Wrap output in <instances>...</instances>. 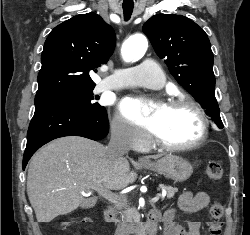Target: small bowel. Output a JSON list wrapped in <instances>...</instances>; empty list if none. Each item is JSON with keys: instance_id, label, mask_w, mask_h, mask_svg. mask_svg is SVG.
<instances>
[{"instance_id": "c3829d8e", "label": "small bowel", "mask_w": 250, "mask_h": 235, "mask_svg": "<svg viewBox=\"0 0 250 235\" xmlns=\"http://www.w3.org/2000/svg\"><path fill=\"white\" fill-rule=\"evenodd\" d=\"M209 202L210 197L205 192H186L180 197L179 206L186 213H196L206 208ZM173 216V212L169 211L163 218L164 235H202L199 222L190 221L187 226L176 225Z\"/></svg>"}]
</instances>
